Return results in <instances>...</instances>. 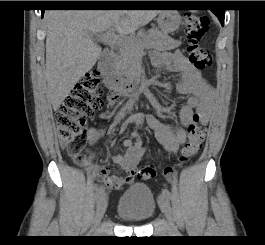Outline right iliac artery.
<instances>
[{
    "instance_id": "82829eb1",
    "label": "right iliac artery",
    "mask_w": 265,
    "mask_h": 245,
    "mask_svg": "<svg viewBox=\"0 0 265 245\" xmlns=\"http://www.w3.org/2000/svg\"><path fill=\"white\" fill-rule=\"evenodd\" d=\"M104 188L103 187H99L97 190H96V193H95V197H94V200L96 202H98V200L104 196Z\"/></svg>"
}]
</instances>
